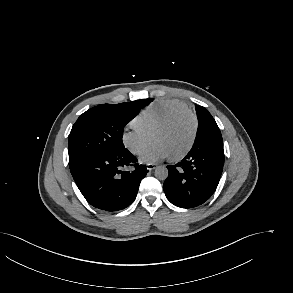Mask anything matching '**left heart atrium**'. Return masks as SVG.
<instances>
[{"mask_svg": "<svg viewBox=\"0 0 293 293\" xmlns=\"http://www.w3.org/2000/svg\"><path fill=\"white\" fill-rule=\"evenodd\" d=\"M169 157H171L170 153L163 144L153 143L142 153L140 161L142 163L152 164Z\"/></svg>", "mask_w": 293, "mask_h": 293, "instance_id": "obj_1", "label": "left heart atrium"}]
</instances>
